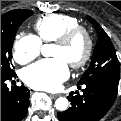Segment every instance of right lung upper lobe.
Returning a JSON list of instances; mask_svg holds the SVG:
<instances>
[{
    "mask_svg": "<svg viewBox=\"0 0 121 121\" xmlns=\"http://www.w3.org/2000/svg\"><path fill=\"white\" fill-rule=\"evenodd\" d=\"M13 11V10H12ZM11 12V11H10ZM10 12L5 13L4 15H8Z\"/></svg>",
    "mask_w": 121,
    "mask_h": 121,
    "instance_id": "1",
    "label": "right lung upper lobe"
}]
</instances>
